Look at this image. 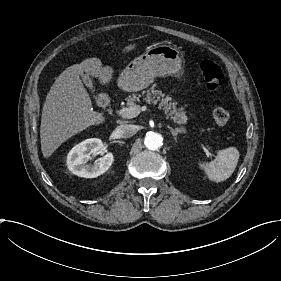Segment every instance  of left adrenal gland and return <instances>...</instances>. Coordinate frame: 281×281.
Returning a JSON list of instances; mask_svg holds the SVG:
<instances>
[{
  "mask_svg": "<svg viewBox=\"0 0 281 281\" xmlns=\"http://www.w3.org/2000/svg\"><path fill=\"white\" fill-rule=\"evenodd\" d=\"M184 127L183 126H177L175 129L171 130V133L173 136H176L178 133H180L182 131Z\"/></svg>",
  "mask_w": 281,
  "mask_h": 281,
  "instance_id": "a2214340",
  "label": "left adrenal gland"
}]
</instances>
